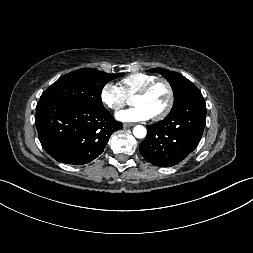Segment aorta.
I'll return each instance as SVG.
<instances>
[{
  "label": "aorta",
  "instance_id": "obj_1",
  "mask_svg": "<svg viewBox=\"0 0 253 253\" xmlns=\"http://www.w3.org/2000/svg\"><path fill=\"white\" fill-rule=\"evenodd\" d=\"M133 134L136 138H144L146 136V128L142 125H137L133 129Z\"/></svg>",
  "mask_w": 253,
  "mask_h": 253
}]
</instances>
